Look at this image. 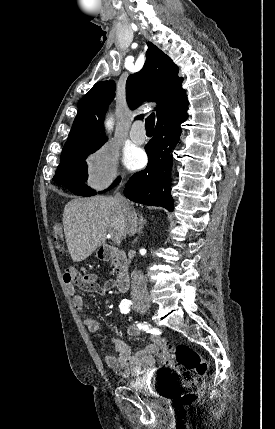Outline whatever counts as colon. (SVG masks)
<instances>
[{
	"label": "colon",
	"mask_w": 275,
	"mask_h": 429,
	"mask_svg": "<svg viewBox=\"0 0 275 429\" xmlns=\"http://www.w3.org/2000/svg\"><path fill=\"white\" fill-rule=\"evenodd\" d=\"M53 241L59 251H64V239L59 226L53 230ZM70 276V271L67 269L64 277ZM157 358L169 375L187 383H194L197 378L206 376L209 371L208 362L197 351L185 344L173 348L163 340L157 350ZM202 393L203 388L187 392L182 396V402L185 405H191L199 399Z\"/></svg>",
	"instance_id": "obj_1"
}]
</instances>
